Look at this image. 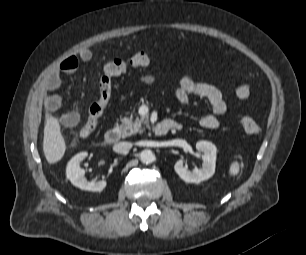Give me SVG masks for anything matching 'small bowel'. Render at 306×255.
Masks as SVG:
<instances>
[{"label":"small bowel","instance_id":"small-bowel-1","mask_svg":"<svg viewBox=\"0 0 306 255\" xmlns=\"http://www.w3.org/2000/svg\"><path fill=\"white\" fill-rule=\"evenodd\" d=\"M92 52L89 49H82L77 56L72 55L63 59L58 68L51 71L44 80V86L47 91L45 98V107L49 112H58L61 108L62 101L57 94L61 86V75L72 74L79 66V61L87 62L91 60ZM140 81L146 85H152L156 81L153 74H143L140 76ZM250 95L249 86L243 84L236 90V96L240 100L248 99ZM197 96L206 99L211 107L212 113L201 115L198 118V123L201 127L206 129H217L221 124V118L227 112V103L224 95L216 86L195 81L189 76H183L179 80V87L175 91L176 100L183 104H190V97ZM61 123L66 127H73L79 121V115L75 111H67L60 115Z\"/></svg>","mask_w":306,"mask_h":255}]
</instances>
